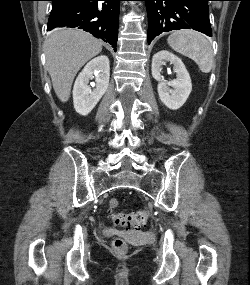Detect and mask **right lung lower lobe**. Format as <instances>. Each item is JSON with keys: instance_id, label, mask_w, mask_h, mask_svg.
<instances>
[{"instance_id": "98d812e1", "label": "right lung lower lobe", "mask_w": 250, "mask_h": 285, "mask_svg": "<svg viewBox=\"0 0 250 285\" xmlns=\"http://www.w3.org/2000/svg\"><path fill=\"white\" fill-rule=\"evenodd\" d=\"M47 30L78 27L110 43L116 50L122 0H51Z\"/></svg>"}]
</instances>
